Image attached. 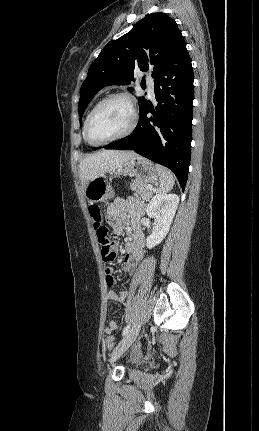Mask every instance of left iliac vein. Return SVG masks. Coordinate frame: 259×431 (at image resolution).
<instances>
[{"label": "left iliac vein", "instance_id": "left-iliac-vein-1", "mask_svg": "<svg viewBox=\"0 0 259 431\" xmlns=\"http://www.w3.org/2000/svg\"><path fill=\"white\" fill-rule=\"evenodd\" d=\"M140 331V324H136L116 346L111 354V363L115 362L133 344Z\"/></svg>", "mask_w": 259, "mask_h": 431}]
</instances>
